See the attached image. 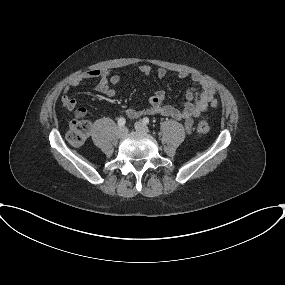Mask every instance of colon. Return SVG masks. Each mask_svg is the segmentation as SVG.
<instances>
[{
	"label": "colon",
	"instance_id": "obj_1",
	"mask_svg": "<svg viewBox=\"0 0 285 285\" xmlns=\"http://www.w3.org/2000/svg\"><path fill=\"white\" fill-rule=\"evenodd\" d=\"M91 131V124L77 116L69 122L66 139L71 146L79 147L85 143ZM197 132L199 135H206L209 132V124L205 118L200 119L197 124Z\"/></svg>",
	"mask_w": 285,
	"mask_h": 285
}]
</instances>
